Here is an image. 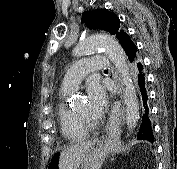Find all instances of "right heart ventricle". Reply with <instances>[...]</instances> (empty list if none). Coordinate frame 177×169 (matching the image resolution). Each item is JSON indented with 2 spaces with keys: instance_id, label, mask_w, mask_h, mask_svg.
<instances>
[{
  "instance_id": "1",
  "label": "right heart ventricle",
  "mask_w": 177,
  "mask_h": 169,
  "mask_svg": "<svg viewBox=\"0 0 177 169\" xmlns=\"http://www.w3.org/2000/svg\"><path fill=\"white\" fill-rule=\"evenodd\" d=\"M73 91L61 90L58 106V122L63 137L69 141L83 140L88 136V131L83 128L76 118L74 111L69 109L65 100Z\"/></svg>"
}]
</instances>
